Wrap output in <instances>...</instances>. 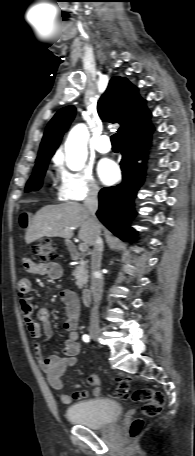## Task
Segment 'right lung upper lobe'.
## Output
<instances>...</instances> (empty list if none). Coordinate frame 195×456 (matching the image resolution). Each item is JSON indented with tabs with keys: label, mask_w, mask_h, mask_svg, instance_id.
<instances>
[{
	"label": "right lung upper lobe",
	"mask_w": 195,
	"mask_h": 456,
	"mask_svg": "<svg viewBox=\"0 0 195 456\" xmlns=\"http://www.w3.org/2000/svg\"><path fill=\"white\" fill-rule=\"evenodd\" d=\"M98 112L103 120L121 125L118 132L122 138L150 123L151 114L145 101L138 95L137 88L124 77L116 76L110 80L106 92L98 102ZM74 116L73 106L62 108L54 115L45 130L36 163L52 157Z\"/></svg>",
	"instance_id": "1"
}]
</instances>
